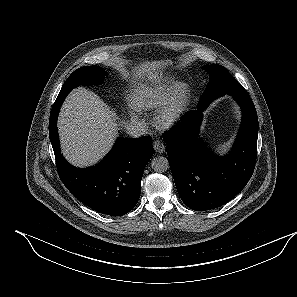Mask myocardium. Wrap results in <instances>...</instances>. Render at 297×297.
<instances>
[{"label":"myocardium","mask_w":297,"mask_h":297,"mask_svg":"<svg viewBox=\"0 0 297 297\" xmlns=\"http://www.w3.org/2000/svg\"><path fill=\"white\" fill-rule=\"evenodd\" d=\"M190 100L189 87L178 84L171 96L158 109L155 120L162 128H170L181 120L187 111Z\"/></svg>","instance_id":"1"}]
</instances>
